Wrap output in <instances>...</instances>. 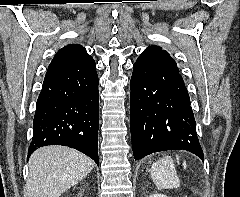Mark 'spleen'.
<instances>
[{"label":"spleen","mask_w":240,"mask_h":197,"mask_svg":"<svg viewBox=\"0 0 240 197\" xmlns=\"http://www.w3.org/2000/svg\"><path fill=\"white\" fill-rule=\"evenodd\" d=\"M150 174L158 189H173L180 185L174 162L170 156H165L153 163Z\"/></svg>","instance_id":"1"}]
</instances>
